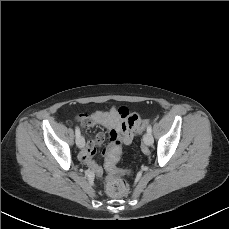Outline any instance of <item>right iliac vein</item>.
Here are the masks:
<instances>
[{"instance_id": "1", "label": "right iliac vein", "mask_w": 229, "mask_h": 229, "mask_svg": "<svg viewBox=\"0 0 229 229\" xmlns=\"http://www.w3.org/2000/svg\"><path fill=\"white\" fill-rule=\"evenodd\" d=\"M76 145L78 146V148H83L85 145V140L83 136H79L78 138H76Z\"/></svg>"}]
</instances>
